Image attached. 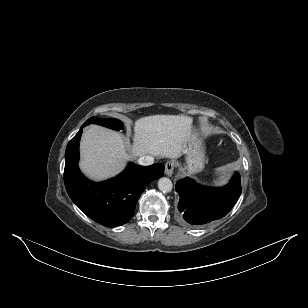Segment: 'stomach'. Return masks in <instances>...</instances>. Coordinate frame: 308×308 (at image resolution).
<instances>
[{
  "instance_id": "stomach-1",
  "label": "stomach",
  "mask_w": 308,
  "mask_h": 308,
  "mask_svg": "<svg viewBox=\"0 0 308 308\" xmlns=\"http://www.w3.org/2000/svg\"><path fill=\"white\" fill-rule=\"evenodd\" d=\"M185 170L193 175L203 170L205 164L204 143L198 134L191 130L184 147Z\"/></svg>"
}]
</instances>
